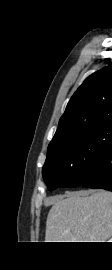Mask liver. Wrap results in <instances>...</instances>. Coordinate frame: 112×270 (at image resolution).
<instances>
[{
  "label": "liver",
  "mask_w": 112,
  "mask_h": 270,
  "mask_svg": "<svg viewBox=\"0 0 112 270\" xmlns=\"http://www.w3.org/2000/svg\"><path fill=\"white\" fill-rule=\"evenodd\" d=\"M112 236V192L77 191L57 197L45 242H106Z\"/></svg>",
  "instance_id": "1"
}]
</instances>
